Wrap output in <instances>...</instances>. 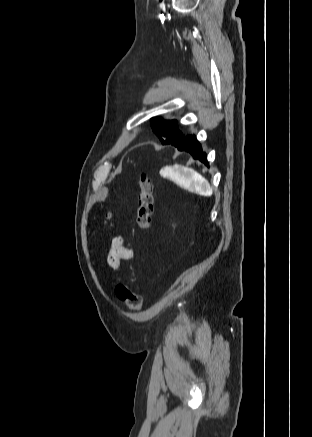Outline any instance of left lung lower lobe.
<instances>
[{
	"mask_svg": "<svg viewBox=\"0 0 312 437\" xmlns=\"http://www.w3.org/2000/svg\"><path fill=\"white\" fill-rule=\"evenodd\" d=\"M166 144H171L177 147L179 151L189 152L193 158L198 159L209 166L206 154L202 151L201 145L195 135H186L183 139L171 141L170 143Z\"/></svg>",
	"mask_w": 312,
	"mask_h": 437,
	"instance_id": "1",
	"label": "left lung lower lobe"
}]
</instances>
